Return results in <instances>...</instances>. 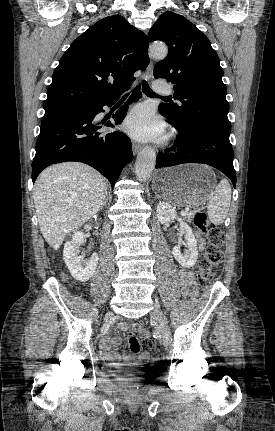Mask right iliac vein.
Here are the masks:
<instances>
[{"mask_svg":"<svg viewBox=\"0 0 275 431\" xmlns=\"http://www.w3.org/2000/svg\"><path fill=\"white\" fill-rule=\"evenodd\" d=\"M113 316V313L112 312H108L107 314H106V318H111Z\"/></svg>","mask_w":275,"mask_h":431,"instance_id":"right-iliac-vein-1","label":"right iliac vein"}]
</instances>
